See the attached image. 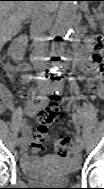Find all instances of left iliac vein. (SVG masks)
<instances>
[{
    "label": "left iliac vein",
    "mask_w": 104,
    "mask_h": 189,
    "mask_svg": "<svg viewBox=\"0 0 104 189\" xmlns=\"http://www.w3.org/2000/svg\"><path fill=\"white\" fill-rule=\"evenodd\" d=\"M78 149L79 150H83L84 149V147H85V144H84V142H83V140L81 139H78Z\"/></svg>",
    "instance_id": "1"
}]
</instances>
